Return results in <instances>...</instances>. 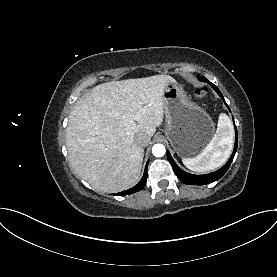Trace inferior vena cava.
Returning a JSON list of instances; mask_svg holds the SVG:
<instances>
[{"instance_id":"602c4592","label":"inferior vena cava","mask_w":277,"mask_h":277,"mask_svg":"<svg viewBox=\"0 0 277 277\" xmlns=\"http://www.w3.org/2000/svg\"><path fill=\"white\" fill-rule=\"evenodd\" d=\"M135 141L142 147H145L149 144V138L144 133H138L135 136Z\"/></svg>"}]
</instances>
